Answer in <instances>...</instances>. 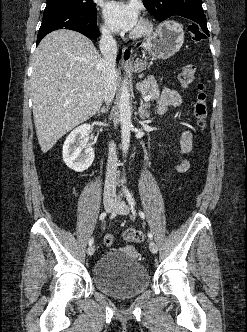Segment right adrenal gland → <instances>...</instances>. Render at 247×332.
I'll list each match as a JSON object with an SVG mask.
<instances>
[{"mask_svg":"<svg viewBox=\"0 0 247 332\" xmlns=\"http://www.w3.org/2000/svg\"><path fill=\"white\" fill-rule=\"evenodd\" d=\"M108 110H109V107L104 106L98 111V114H104V113L108 112Z\"/></svg>","mask_w":247,"mask_h":332,"instance_id":"right-adrenal-gland-1","label":"right adrenal gland"}]
</instances>
